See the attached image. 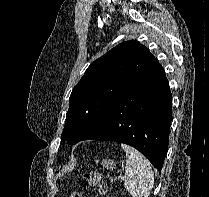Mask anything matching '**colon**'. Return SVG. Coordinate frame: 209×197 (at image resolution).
Returning a JSON list of instances; mask_svg holds the SVG:
<instances>
[{"instance_id":"obj_1","label":"colon","mask_w":209,"mask_h":197,"mask_svg":"<svg viewBox=\"0 0 209 197\" xmlns=\"http://www.w3.org/2000/svg\"><path fill=\"white\" fill-rule=\"evenodd\" d=\"M84 179L87 181L88 185L95 188L99 193H105L107 190L106 183L103 176L98 172H89L83 174ZM70 197H83L80 192H73Z\"/></svg>"}]
</instances>
